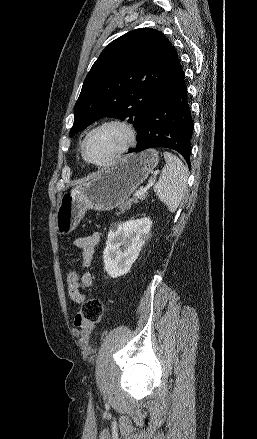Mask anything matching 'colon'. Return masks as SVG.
<instances>
[{"label": "colon", "mask_w": 257, "mask_h": 439, "mask_svg": "<svg viewBox=\"0 0 257 439\" xmlns=\"http://www.w3.org/2000/svg\"><path fill=\"white\" fill-rule=\"evenodd\" d=\"M79 274L76 271L66 273V281L68 285H75L78 282ZM103 315V304L98 298H89L81 306V318L90 324H98Z\"/></svg>", "instance_id": "5ec220e1"}]
</instances>
